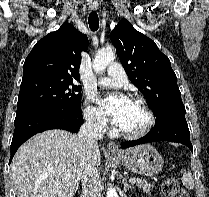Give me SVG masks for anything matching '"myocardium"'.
Returning a JSON list of instances; mask_svg holds the SVG:
<instances>
[{
  "instance_id": "1",
  "label": "myocardium",
  "mask_w": 209,
  "mask_h": 197,
  "mask_svg": "<svg viewBox=\"0 0 209 197\" xmlns=\"http://www.w3.org/2000/svg\"><path fill=\"white\" fill-rule=\"evenodd\" d=\"M134 101L139 103L142 106L143 110L146 113L147 120H146L145 124L140 129H138L136 131H125V130L119 128L118 133L128 139H138V138L144 137L145 135H147L150 132V130L152 129V127L155 124L154 112L151 110V108L149 107V105L147 104L145 99H143L141 97H135Z\"/></svg>"
}]
</instances>
